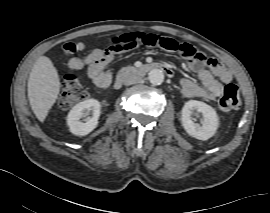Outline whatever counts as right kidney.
Segmentation results:
<instances>
[{
  "label": "right kidney",
  "instance_id": "ca27d5eb",
  "mask_svg": "<svg viewBox=\"0 0 270 213\" xmlns=\"http://www.w3.org/2000/svg\"><path fill=\"white\" fill-rule=\"evenodd\" d=\"M100 102L96 99H87L76 104L68 113L67 124L72 134L76 136H85L92 132L98 125L100 116ZM92 111V116L81 122L80 119L88 115Z\"/></svg>",
  "mask_w": 270,
  "mask_h": 213
}]
</instances>
